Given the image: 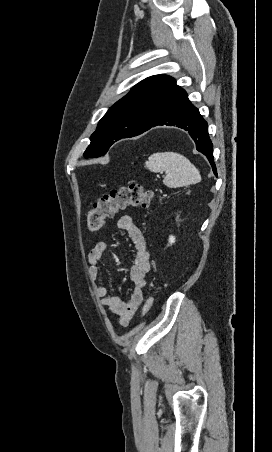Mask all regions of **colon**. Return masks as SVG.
I'll use <instances>...</instances> for the list:
<instances>
[{
	"label": "colon",
	"mask_w": 272,
	"mask_h": 452,
	"mask_svg": "<svg viewBox=\"0 0 272 452\" xmlns=\"http://www.w3.org/2000/svg\"><path fill=\"white\" fill-rule=\"evenodd\" d=\"M153 198V192L145 189L138 183L120 187L110 191L95 202L87 212V227L90 231L96 232L101 229L104 221L113 217L117 212L132 206L148 208ZM155 301V293L148 295L142 308L143 315H146Z\"/></svg>",
	"instance_id": "obj_1"
}]
</instances>
